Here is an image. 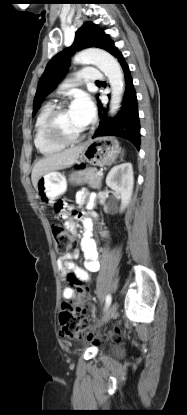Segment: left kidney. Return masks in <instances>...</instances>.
<instances>
[{
    "mask_svg": "<svg viewBox=\"0 0 187 415\" xmlns=\"http://www.w3.org/2000/svg\"><path fill=\"white\" fill-rule=\"evenodd\" d=\"M106 185L120 195V212H123L128 206L133 192L132 164L122 163L113 167L106 177Z\"/></svg>",
    "mask_w": 187,
    "mask_h": 415,
    "instance_id": "left-kidney-1",
    "label": "left kidney"
}]
</instances>
